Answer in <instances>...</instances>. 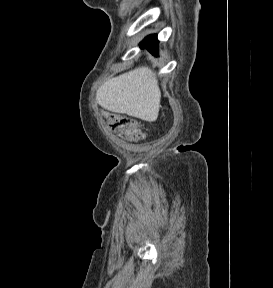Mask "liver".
<instances>
[{
    "instance_id": "6515ba94",
    "label": "liver",
    "mask_w": 273,
    "mask_h": 288,
    "mask_svg": "<svg viewBox=\"0 0 273 288\" xmlns=\"http://www.w3.org/2000/svg\"><path fill=\"white\" fill-rule=\"evenodd\" d=\"M152 75L144 66L110 79L97 90L96 101L108 111L154 122L158 118L161 92Z\"/></svg>"
}]
</instances>
